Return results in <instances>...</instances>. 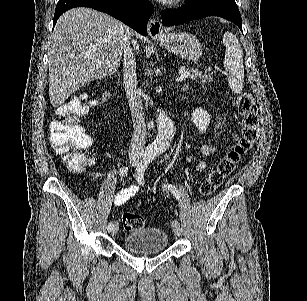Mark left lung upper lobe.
<instances>
[{"label": "left lung upper lobe", "instance_id": "obj_1", "mask_svg": "<svg viewBox=\"0 0 307 301\" xmlns=\"http://www.w3.org/2000/svg\"><path fill=\"white\" fill-rule=\"evenodd\" d=\"M198 1H201V0H187V3H194ZM230 1L235 2V0H230Z\"/></svg>", "mask_w": 307, "mask_h": 301}]
</instances>
